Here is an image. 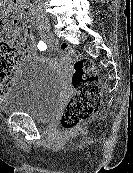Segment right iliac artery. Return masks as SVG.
Returning <instances> with one entry per match:
<instances>
[{"mask_svg": "<svg viewBox=\"0 0 133 173\" xmlns=\"http://www.w3.org/2000/svg\"><path fill=\"white\" fill-rule=\"evenodd\" d=\"M32 15H34V11L33 10H32ZM36 25H37V29L39 30V33H40L41 37L43 38V42L44 43L49 42L48 33H47L45 27L42 25V23H41V21H40V19L38 17L36 19Z\"/></svg>", "mask_w": 133, "mask_h": 173, "instance_id": "82829eb1", "label": "right iliac artery"}]
</instances>
